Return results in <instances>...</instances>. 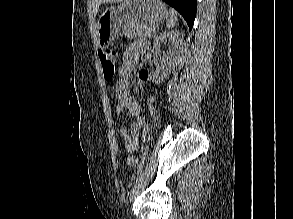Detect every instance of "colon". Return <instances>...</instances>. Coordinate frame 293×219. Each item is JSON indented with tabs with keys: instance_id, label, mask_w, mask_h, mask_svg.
Segmentation results:
<instances>
[{
	"instance_id": "5ec220e1",
	"label": "colon",
	"mask_w": 293,
	"mask_h": 219,
	"mask_svg": "<svg viewBox=\"0 0 293 219\" xmlns=\"http://www.w3.org/2000/svg\"><path fill=\"white\" fill-rule=\"evenodd\" d=\"M99 59L103 69V75L106 80H112L115 76L117 65H118V56L115 51L102 48L99 50ZM137 162L135 156H130L127 158V165L133 166Z\"/></svg>"
}]
</instances>
